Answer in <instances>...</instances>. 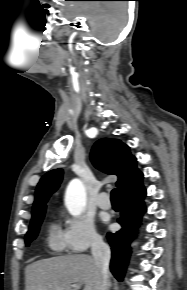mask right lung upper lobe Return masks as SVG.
Segmentation results:
<instances>
[{
    "label": "right lung upper lobe",
    "instance_id": "1",
    "mask_svg": "<svg viewBox=\"0 0 187 290\" xmlns=\"http://www.w3.org/2000/svg\"><path fill=\"white\" fill-rule=\"evenodd\" d=\"M90 157L96 168L118 177L116 186L121 201L134 199L145 193L142 185L143 173L136 166L137 159L131 155L129 147L120 140L110 138L98 140L92 148ZM62 174V169H54L41 178L35 193L32 220L45 213V204L59 187Z\"/></svg>",
    "mask_w": 187,
    "mask_h": 290
}]
</instances>
